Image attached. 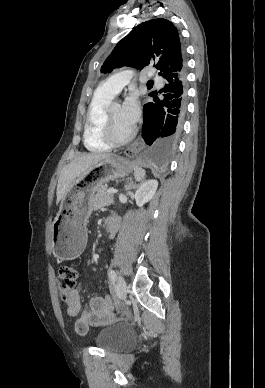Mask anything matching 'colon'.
<instances>
[{"label":"colon","mask_w":265,"mask_h":388,"mask_svg":"<svg viewBox=\"0 0 265 388\" xmlns=\"http://www.w3.org/2000/svg\"><path fill=\"white\" fill-rule=\"evenodd\" d=\"M77 280V271L72 265H65L60 268L57 285L61 297L67 300L69 294L74 289ZM107 306H113V301L110 296L104 298Z\"/></svg>","instance_id":"obj_1"}]
</instances>
